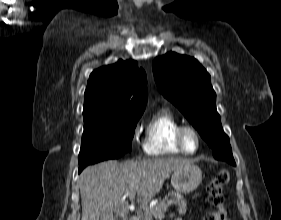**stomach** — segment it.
<instances>
[{"mask_svg":"<svg viewBox=\"0 0 281 220\" xmlns=\"http://www.w3.org/2000/svg\"><path fill=\"white\" fill-rule=\"evenodd\" d=\"M202 181V172L196 165H189L174 170L171 184L177 192L190 193L194 191Z\"/></svg>","mask_w":281,"mask_h":220,"instance_id":"obj_1","label":"stomach"}]
</instances>
